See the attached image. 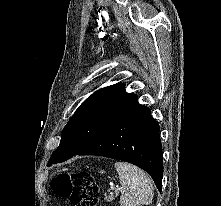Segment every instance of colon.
<instances>
[{
    "label": "colon",
    "mask_w": 221,
    "mask_h": 206,
    "mask_svg": "<svg viewBox=\"0 0 221 206\" xmlns=\"http://www.w3.org/2000/svg\"><path fill=\"white\" fill-rule=\"evenodd\" d=\"M52 190L60 197L69 199L72 206H96L99 188L94 177L83 171L64 172L51 183Z\"/></svg>",
    "instance_id": "5ec220e1"
}]
</instances>
